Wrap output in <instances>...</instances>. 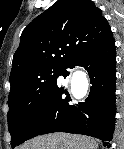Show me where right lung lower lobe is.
<instances>
[{"label": "right lung lower lobe", "mask_w": 124, "mask_h": 149, "mask_svg": "<svg viewBox=\"0 0 124 149\" xmlns=\"http://www.w3.org/2000/svg\"><path fill=\"white\" fill-rule=\"evenodd\" d=\"M115 40L86 53L63 68L66 78L75 66L84 67L90 77V93L84 102L72 101L67 89L59 82L42 102L17 145L35 136L53 132L88 135L109 141L115 125Z\"/></svg>", "instance_id": "1"}]
</instances>
